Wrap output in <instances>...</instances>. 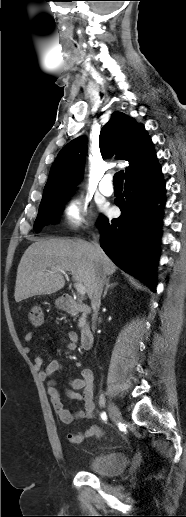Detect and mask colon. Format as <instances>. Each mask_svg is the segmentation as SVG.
Instances as JSON below:
<instances>
[{
  "label": "colon",
  "instance_id": "5ec220e1",
  "mask_svg": "<svg viewBox=\"0 0 186 517\" xmlns=\"http://www.w3.org/2000/svg\"><path fill=\"white\" fill-rule=\"evenodd\" d=\"M29 322L33 327H40L44 323V314L40 307L34 306L29 312Z\"/></svg>",
  "mask_w": 186,
  "mask_h": 517
}]
</instances>
